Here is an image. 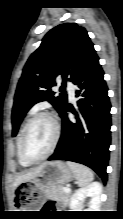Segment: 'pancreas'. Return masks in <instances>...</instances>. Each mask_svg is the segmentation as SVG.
I'll return each mask as SVG.
<instances>
[{"instance_id":"obj_1","label":"pancreas","mask_w":123,"mask_h":219,"mask_svg":"<svg viewBox=\"0 0 123 219\" xmlns=\"http://www.w3.org/2000/svg\"><path fill=\"white\" fill-rule=\"evenodd\" d=\"M64 187H53L46 191V197L55 199L61 202H67L70 198V193L64 192Z\"/></svg>"}]
</instances>
